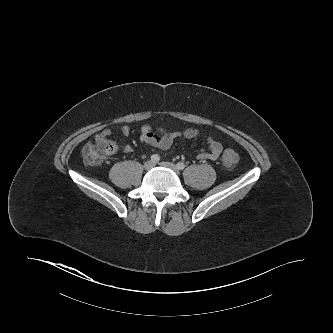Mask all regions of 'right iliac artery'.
<instances>
[{"label":"right iliac artery","mask_w":333,"mask_h":333,"mask_svg":"<svg viewBox=\"0 0 333 333\" xmlns=\"http://www.w3.org/2000/svg\"><path fill=\"white\" fill-rule=\"evenodd\" d=\"M151 161H152L153 163H158V162L160 161V156L157 155V154H153V155L151 156Z\"/></svg>","instance_id":"1"}]
</instances>
